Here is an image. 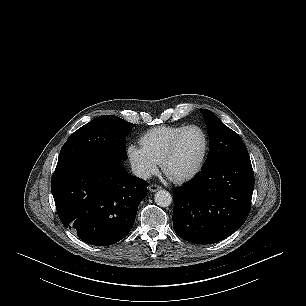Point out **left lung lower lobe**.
I'll use <instances>...</instances> for the list:
<instances>
[{
    "label": "left lung lower lobe",
    "instance_id": "obj_1",
    "mask_svg": "<svg viewBox=\"0 0 306 306\" xmlns=\"http://www.w3.org/2000/svg\"><path fill=\"white\" fill-rule=\"evenodd\" d=\"M254 173L250 157L231 158L206 168L174 190L173 227L179 237L213 244L235 232L251 209Z\"/></svg>",
    "mask_w": 306,
    "mask_h": 306
}]
</instances>
